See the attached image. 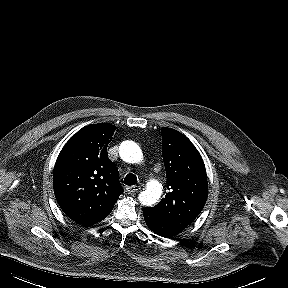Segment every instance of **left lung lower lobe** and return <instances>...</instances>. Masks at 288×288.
Instances as JSON below:
<instances>
[{
	"instance_id": "left-lung-lower-lobe-1",
	"label": "left lung lower lobe",
	"mask_w": 288,
	"mask_h": 288,
	"mask_svg": "<svg viewBox=\"0 0 288 288\" xmlns=\"http://www.w3.org/2000/svg\"><path fill=\"white\" fill-rule=\"evenodd\" d=\"M143 215L148 227L162 237H172L179 234L183 229L173 226L162 219L152 215L147 208L143 209Z\"/></svg>"
}]
</instances>
